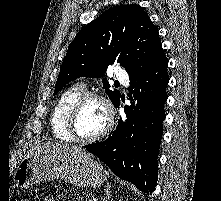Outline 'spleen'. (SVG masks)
<instances>
[{
    "label": "spleen",
    "mask_w": 221,
    "mask_h": 201,
    "mask_svg": "<svg viewBox=\"0 0 221 201\" xmlns=\"http://www.w3.org/2000/svg\"><path fill=\"white\" fill-rule=\"evenodd\" d=\"M107 174H108V172H107ZM105 192H106L107 194H109V188H106Z\"/></svg>",
    "instance_id": "1"
}]
</instances>
